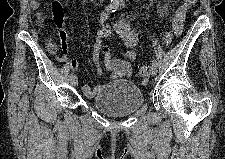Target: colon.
Segmentation results:
<instances>
[{
    "instance_id": "5ec220e1",
    "label": "colon",
    "mask_w": 225,
    "mask_h": 159,
    "mask_svg": "<svg viewBox=\"0 0 225 159\" xmlns=\"http://www.w3.org/2000/svg\"><path fill=\"white\" fill-rule=\"evenodd\" d=\"M57 12H60L59 6H57ZM163 39H164V43H165L166 45H169V44L172 42V39H173L172 33L169 32V31L166 32V33L164 34ZM109 53H110L109 49L106 48V49H105V54H106V55H109ZM148 71H149V65H148V64H143V65L140 67L139 71H138V75H139L141 78H147V76H148Z\"/></svg>"
}]
</instances>
